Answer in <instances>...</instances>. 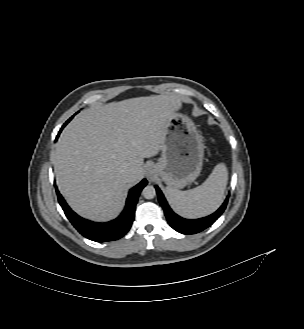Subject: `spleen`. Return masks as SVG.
<instances>
[{
    "mask_svg": "<svg viewBox=\"0 0 304 329\" xmlns=\"http://www.w3.org/2000/svg\"><path fill=\"white\" fill-rule=\"evenodd\" d=\"M227 181V167L219 163L200 186L187 191L166 187V196L176 213L185 218H199L221 205Z\"/></svg>",
    "mask_w": 304,
    "mask_h": 329,
    "instance_id": "obj_1",
    "label": "spleen"
}]
</instances>
